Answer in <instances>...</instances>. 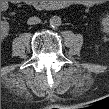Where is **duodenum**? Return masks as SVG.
Returning a JSON list of instances; mask_svg holds the SVG:
<instances>
[{
  "label": "duodenum",
  "mask_w": 109,
  "mask_h": 109,
  "mask_svg": "<svg viewBox=\"0 0 109 109\" xmlns=\"http://www.w3.org/2000/svg\"><path fill=\"white\" fill-rule=\"evenodd\" d=\"M27 5L41 10L47 9L51 6V4L44 1H27Z\"/></svg>",
  "instance_id": "duodenum-1"
}]
</instances>
